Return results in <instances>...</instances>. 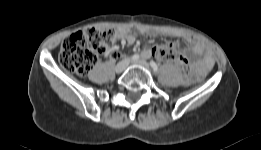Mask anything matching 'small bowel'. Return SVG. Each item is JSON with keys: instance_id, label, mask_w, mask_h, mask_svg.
<instances>
[{"instance_id": "obj_1", "label": "small bowel", "mask_w": 261, "mask_h": 150, "mask_svg": "<svg viewBox=\"0 0 261 150\" xmlns=\"http://www.w3.org/2000/svg\"><path fill=\"white\" fill-rule=\"evenodd\" d=\"M141 32L145 35L151 36L153 35V31L148 29H143ZM120 37L122 45H131L136 41V35L131 28H123L120 31ZM187 42L191 45V51L198 57V60L194 63V71L192 78H196L203 73H205L208 69L213 65V58L210 52L206 49V47L198 41L196 38L188 36L186 37ZM152 54V51L146 49L142 52V57L148 59ZM116 57V53L112 54V58Z\"/></svg>"}]
</instances>
